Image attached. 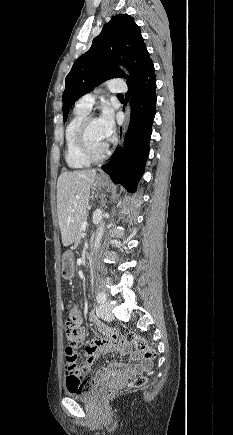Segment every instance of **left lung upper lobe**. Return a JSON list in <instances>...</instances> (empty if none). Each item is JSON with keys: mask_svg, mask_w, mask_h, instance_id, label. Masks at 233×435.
I'll return each instance as SVG.
<instances>
[{"mask_svg": "<svg viewBox=\"0 0 233 435\" xmlns=\"http://www.w3.org/2000/svg\"><path fill=\"white\" fill-rule=\"evenodd\" d=\"M116 63L130 70V80ZM150 64L152 60L134 19L128 14L113 16L93 39L89 50L75 61L65 79L62 97L64 122L74 102L100 83L121 77L127 78L130 85Z\"/></svg>", "mask_w": 233, "mask_h": 435, "instance_id": "obj_1", "label": "left lung upper lobe"}]
</instances>
